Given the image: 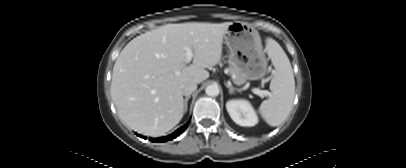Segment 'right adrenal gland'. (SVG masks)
<instances>
[{
	"label": "right adrenal gland",
	"mask_w": 406,
	"mask_h": 168,
	"mask_svg": "<svg viewBox=\"0 0 406 168\" xmlns=\"http://www.w3.org/2000/svg\"><path fill=\"white\" fill-rule=\"evenodd\" d=\"M190 97L191 96L189 95L184 99V113H186L188 110V100L190 99Z\"/></svg>",
	"instance_id": "1"
}]
</instances>
